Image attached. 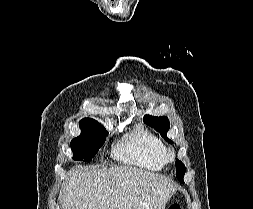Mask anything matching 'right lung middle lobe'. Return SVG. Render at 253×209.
Here are the masks:
<instances>
[{
	"instance_id": "dd1d6c3e",
	"label": "right lung middle lobe",
	"mask_w": 253,
	"mask_h": 209,
	"mask_svg": "<svg viewBox=\"0 0 253 209\" xmlns=\"http://www.w3.org/2000/svg\"><path fill=\"white\" fill-rule=\"evenodd\" d=\"M81 135L72 139L71 150L73 159L90 162L105 141L106 129L91 118L80 121Z\"/></svg>"
}]
</instances>
